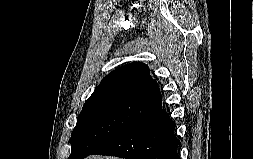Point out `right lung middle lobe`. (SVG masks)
I'll return each instance as SVG.
<instances>
[{
    "mask_svg": "<svg viewBox=\"0 0 253 159\" xmlns=\"http://www.w3.org/2000/svg\"><path fill=\"white\" fill-rule=\"evenodd\" d=\"M157 108L156 104L123 96L88 99L71 134L68 159L85 158Z\"/></svg>",
    "mask_w": 253,
    "mask_h": 159,
    "instance_id": "1",
    "label": "right lung middle lobe"
}]
</instances>
